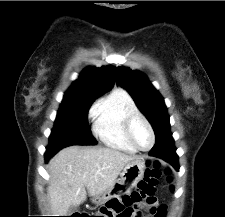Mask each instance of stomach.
<instances>
[{
    "instance_id": "0dacf381",
    "label": "stomach",
    "mask_w": 225,
    "mask_h": 217,
    "mask_svg": "<svg viewBox=\"0 0 225 217\" xmlns=\"http://www.w3.org/2000/svg\"><path fill=\"white\" fill-rule=\"evenodd\" d=\"M145 162L136 159L129 162L123 168L120 178L115 181L114 185L105 192L93 197L92 202L97 205L107 203L111 198L117 196V193L124 187L135 186L145 175Z\"/></svg>"
}]
</instances>
